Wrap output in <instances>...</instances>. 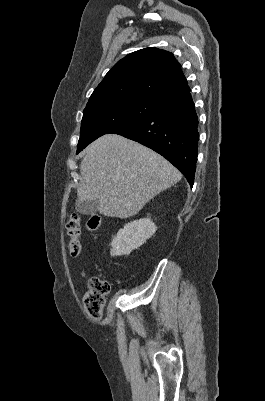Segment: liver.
Listing matches in <instances>:
<instances>
[{
    "label": "liver",
    "instance_id": "6515ba94",
    "mask_svg": "<svg viewBox=\"0 0 265 401\" xmlns=\"http://www.w3.org/2000/svg\"><path fill=\"white\" fill-rule=\"evenodd\" d=\"M78 201H99L105 217L128 219L176 184L181 172L166 158L119 134H104L84 150Z\"/></svg>",
    "mask_w": 265,
    "mask_h": 401
}]
</instances>
